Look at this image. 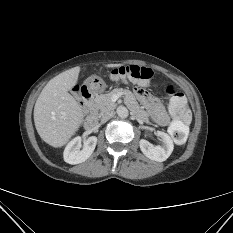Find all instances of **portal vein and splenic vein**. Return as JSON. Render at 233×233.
<instances>
[{"mask_svg":"<svg viewBox=\"0 0 233 233\" xmlns=\"http://www.w3.org/2000/svg\"><path fill=\"white\" fill-rule=\"evenodd\" d=\"M116 98H117V96H114V97H113V99H116Z\"/></svg>","mask_w":233,"mask_h":233,"instance_id":"1","label":"portal vein and splenic vein"}]
</instances>
